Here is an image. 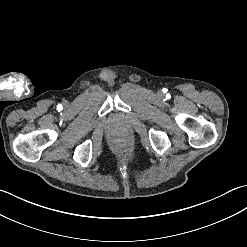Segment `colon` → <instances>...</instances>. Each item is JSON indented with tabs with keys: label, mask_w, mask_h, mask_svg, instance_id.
<instances>
[{
	"label": "colon",
	"mask_w": 247,
	"mask_h": 247,
	"mask_svg": "<svg viewBox=\"0 0 247 247\" xmlns=\"http://www.w3.org/2000/svg\"><path fill=\"white\" fill-rule=\"evenodd\" d=\"M113 146L116 151L120 153H125L130 150L132 146V141L129 136L125 134H120L115 137L113 141Z\"/></svg>",
	"instance_id": "obj_1"
}]
</instances>
